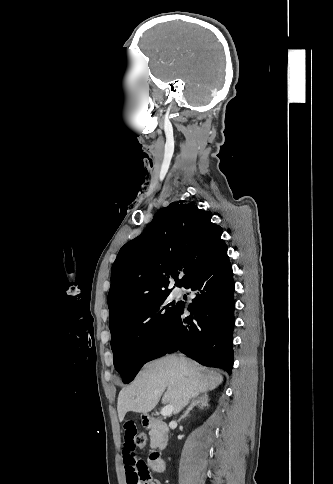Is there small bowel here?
<instances>
[{"mask_svg": "<svg viewBox=\"0 0 333 484\" xmlns=\"http://www.w3.org/2000/svg\"><path fill=\"white\" fill-rule=\"evenodd\" d=\"M123 430L124 443L122 454L126 474V483L160 484V482L151 475L146 463L136 455L135 439L138 435L136 423L132 419L125 420Z\"/></svg>", "mask_w": 333, "mask_h": 484, "instance_id": "small-bowel-1", "label": "small bowel"}]
</instances>
